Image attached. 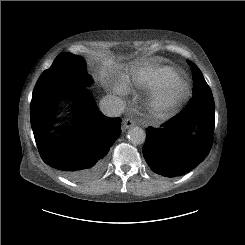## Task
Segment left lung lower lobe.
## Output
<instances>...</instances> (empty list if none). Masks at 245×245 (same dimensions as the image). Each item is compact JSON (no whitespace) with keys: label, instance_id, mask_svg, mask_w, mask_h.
<instances>
[{"label":"left lung lower lobe","instance_id":"1","mask_svg":"<svg viewBox=\"0 0 245 245\" xmlns=\"http://www.w3.org/2000/svg\"><path fill=\"white\" fill-rule=\"evenodd\" d=\"M206 87L200 89L204 92ZM201 92V93H202ZM196 97V96H195ZM195 122L197 129L190 124ZM215 104L197 99L161 125L148 127L143 148L151 170L164 177H177L191 171L208 155L214 134Z\"/></svg>","mask_w":245,"mask_h":245}]
</instances>
